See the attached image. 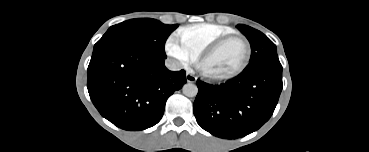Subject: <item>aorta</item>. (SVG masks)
I'll return each mask as SVG.
<instances>
[{
    "instance_id": "762f6f07",
    "label": "aorta",
    "mask_w": 369,
    "mask_h": 152,
    "mask_svg": "<svg viewBox=\"0 0 369 152\" xmlns=\"http://www.w3.org/2000/svg\"><path fill=\"white\" fill-rule=\"evenodd\" d=\"M183 94L187 97H195L198 93V88L195 84L189 82L182 87Z\"/></svg>"
}]
</instances>
